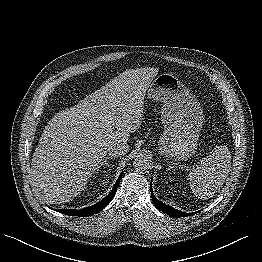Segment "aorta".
I'll return each instance as SVG.
<instances>
[{
  "mask_svg": "<svg viewBox=\"0 0 262 262\" xmlns=\"http://www.w3.org/2000/svg\"><path fill=\"white\" fill-rule=\"evenodd\" d=\"M133 164L135 169L139 172H147L153 167L150 158L145 154L137 155Z\"/></svg>",
  "mask_w": 262,
  "mask_h": 262,
  "instance_id": "762f6f07",
  "label": "aorta"
}]
</instances>
